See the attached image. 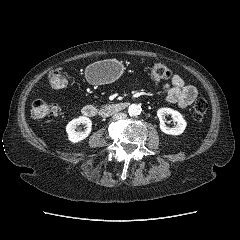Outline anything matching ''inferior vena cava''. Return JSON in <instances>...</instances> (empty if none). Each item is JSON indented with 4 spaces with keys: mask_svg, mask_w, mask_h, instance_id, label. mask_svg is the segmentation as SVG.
<instances>
[{
    "mask_svg": "<svg viewBox=\"0 0 240 240\" xmlns=\"http://www.w3.org/2000/svg\"><path fill=\"white\" fill-rule=\"evenodd\" d=\"M126 117L127 115L125 113H115L112 116L114 120H122V119H125Z\"/></svg>",
    "mask_w": 240,
    "mask_h": 240,
    "instance_id": "inferior-vena-cava-1",
    "label": "inferior vena cava"
}]
</instances>
